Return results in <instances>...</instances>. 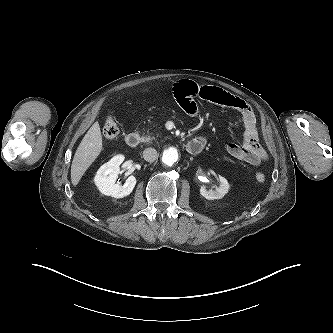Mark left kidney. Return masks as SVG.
I'll use <instances>...</instances> for the list:
<instances>
[{"label":"left kidney","instance_id":"left-kidney-1","mask_svg":"<svg viewBox=\"0 0 333 333\" xmlns=\"http://www.w3.org/2000/svg\"><path fill=\"white\" fill-rule=\"evenodd\" d=\"M219 182L220 186L216 187L214 190H206L204 186L200 188V194L208 199V200H214V199H221L224 197L225 194L228 193L230 185L228 183V180L222 176H219Z\"/></svg>","mask_w":333,"mask_h":333}]
</instances>
